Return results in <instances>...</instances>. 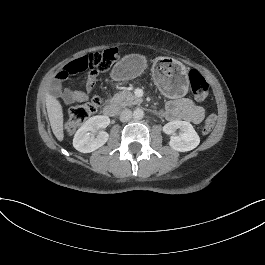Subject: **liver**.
<instances>
[{
    "label": "liver",
    "mask_w": 265,
    "mask_h": 265,
    "mask_svg": "<svg viewBox=\"0 0 265 265\" xmlns=\"http://www.w3.org/2000/svg\"><path fill=\"white\" fill-rule=\"evenodd\" d=\"M46 109L52 131L55 137L59 141H62L64 138L62 106L59 101L49 93H46Z\"/></svg>",
    "instance_id": "6515ba94"
}]
</instances>
